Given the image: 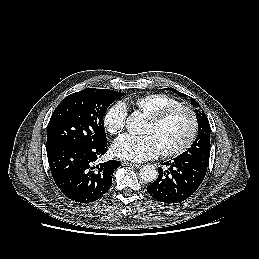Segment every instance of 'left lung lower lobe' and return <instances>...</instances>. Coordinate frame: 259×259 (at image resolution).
<instances>
[{"label": "left lung lower lobe", "instance_id": "1", "mask_svg": "<svg viewBox=\"0 0 259 259\" xmlns=\"http://www.w3.org/2000/svg\"><path fill=\"white\" fill-rule=\"evenodd\" d=\"M159 168L157 180L147 187L148 193L160 202L179 203L189 198L203 181L207 165L187 157L178 156Z\"/></svg>", "mask_w": 259, "mask_h": 259}]
</instances>
